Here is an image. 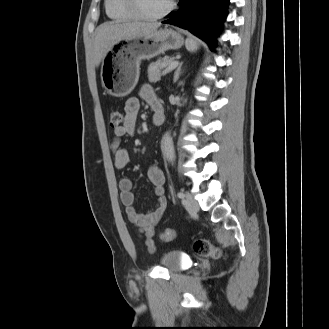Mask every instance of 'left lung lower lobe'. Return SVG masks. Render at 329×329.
Here are the masks:
<instances>
[{
  "label": "left lung lower lobe",
  "instance_id": "obj_1",
  "mask_svg": "<svg viewBox=\"0 0 329 329\" xmlns=\"http://www.w3.org/2000/svg\"><path fill=\"white\" fill-rule=\"evenodd\" d=\"M229 0H180L179 10L162 23L189 30L214 50L215 39L227 16Z\"/></svg>",
  "mask_w": 329,
  "mask_h": 329
}]
</instances>
